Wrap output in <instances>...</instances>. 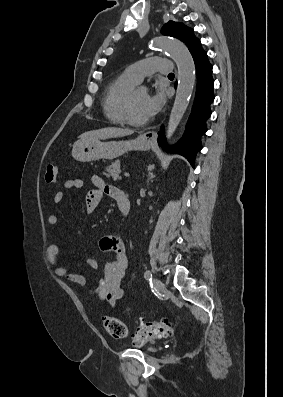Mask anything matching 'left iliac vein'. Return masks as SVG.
<instances>
[{"label":"left iliac vein","mask_w":283,"mask_h":397,"mask_svg":"<svg viewBox=\"0 0 283 397\" xmlns=\"http://www.w3.org/2000/svg\"><path fill=\"white\" fill-rule=\"evenodd\" d=\"M153 283H154L155 289L158 292L163 290L164 286H163L162 282L158 278H154Z\"/></svg>","instance_id":"obj_1"}]
</instances>
